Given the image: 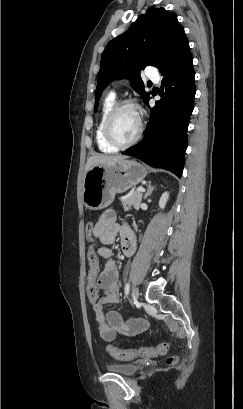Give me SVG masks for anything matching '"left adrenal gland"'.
<instances>
[{"instance_id": "1", "label": "left adrenal gland", "mask_w": 243, "mask_h": 409, "mask_svg": "<svg viewBox=\"0 0 243 409\" xmlns=\"http://www.w3.org/2000/svg\"><path fill=\"white\" fill-rule=\"evenodd\" d=\"M154 186H152L151 181L148 182V189L147 192L145 193L144 198L146 199L148 196H150V194L152 193V191L154 190Z\"/></svg>"}]
</instances>
